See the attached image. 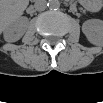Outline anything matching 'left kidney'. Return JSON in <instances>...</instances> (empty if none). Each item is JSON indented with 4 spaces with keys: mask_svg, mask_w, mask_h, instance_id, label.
Listing matches in <instances>:
<instances>
[{
    "mask_svg": "<svg viewBox=\"0 0 103 103\" xmlns=\"http://www.w3.org/2000/svg\"><path fill=\"white\" fill-rule=\"evenodd\" d=\"M82 32L88 41L96 46L103 44V21L100 19H89L82 25Z\"/></svg>",
    "mask_w": 103,
    "mask_h": 103,
    "instance_id": "left-kidney-1",
    "label": "left kidney"
}]
</instances>
